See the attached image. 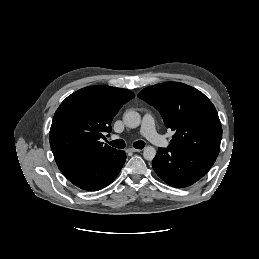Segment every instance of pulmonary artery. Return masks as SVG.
<instances>
[{
    "label": "pulmonary artery",
    "mask_w": 259,
    "mask_h": 259,
    "mask_svg": "<svg viewBox=\"0 0 259 259\" xmlns=\"http://www.w3.org/2000/svg\"><path fill=\"white\" fill-rule=\"evenodd\" d=\"M140 133L155 145H165L163 138L156 132L154 119L149 113L143 117Z\"/></svg>",
    "instance_id": "pulmonary-artery-1"
}]
</instances>
